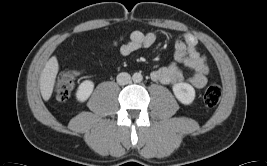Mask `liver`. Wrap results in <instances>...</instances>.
I'll return each mask as SVG.
<instances>
[{
    "label": "liver",
    "instance_id": "obj_1",
    "mask_svg": "<svg viewBox=\"0 0 267 166\" xmlns=\"http://www.w3.org/2000/svg\"><path fill=\"white\" fill-rule=\"evenodd\" d=\"M58 70L59 64L57 58L52 56L47 61L40 75V92L45 101H48L52 95Z\"/></svg>",
    "mask_w": 267,
    "mask_h": 166
}]
</instances>
